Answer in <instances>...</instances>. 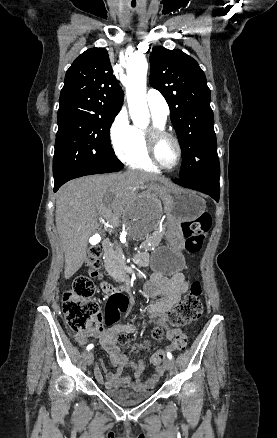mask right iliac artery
<instances>
[{
  "instance_id": "1",
  "label": "right iliac artery",
  "mask_w": 277,
  "mask_h": 438,
  "mask_svg": "<svg viewBox=\"0 0 277 438\" xmlns=\"http://www.w3.org/2000/svg\"><path fill=\"white\" fill-rule=\"evenodd\" d=\"M92 348H93V344H89V345L87 346L86 350L89 351V350L92 349Z\"/></svg>"
}]
</instances>
